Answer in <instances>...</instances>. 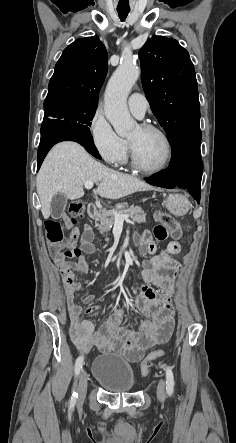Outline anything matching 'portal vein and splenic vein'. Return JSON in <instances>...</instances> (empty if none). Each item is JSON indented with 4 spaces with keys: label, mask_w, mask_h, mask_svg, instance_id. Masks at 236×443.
Here are the masks:
<instances>
[{
    "label": "portal vein and splenic vein",
    "mask_w": 236,
    "mask_h": 443,
    "mask_svg": "<svg viewBox=\"0 0 236 443\" xmlns=\"http://www.w3.org/2000/svg\"><path fill=\"white\" fill-rule=\"evenodd\" d=\"M93 182L92 181H88L84 184L86 189H91L93 187ZM130 217V215H124V214H119V213H114V218L116 222H123L124 220H127Z\"/></svg>",
    "instance_id": "portal-vein-and-splenic-vein-1"
}]
</instances>
